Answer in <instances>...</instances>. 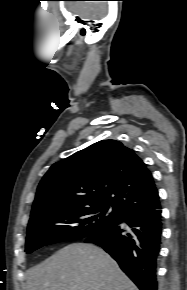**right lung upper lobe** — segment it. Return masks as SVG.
Segmentation results:
<instances>
[{"label":"right lung upper lobe","instance_id":"1","mask_svg":"<svg viewBox=\"0 0 187 290\" xmlns=\"http://www.w3.org/2000/svg\"><path fill=\"white\" fill-rule=\"evenodd\" d=\"M97 204L121 214L160 206L151 172L116 140L99 141L53 164L37 188L28 225L54 212Z\"/></svg>","mask_w":187,"mask_h":290}]
</instances>
